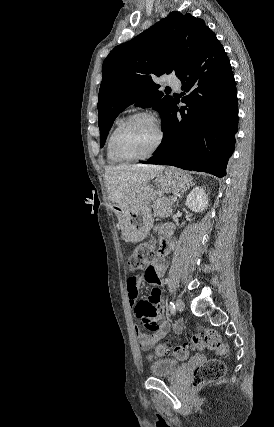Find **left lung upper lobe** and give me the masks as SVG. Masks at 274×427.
<instances>
[{
	"label": "left lung upper lobe",
	"mask_w": 274,
	"mask_h": 427,
	"mask_svg": "<svg viewBox=\"0 0 274 427\" xmlns=\"http://www.w3.org/2000/svg\"><path fill=\"white\" fill-rule=\"evenodd\" d=\"M212 37L215 34L202 19L171 12L129 42L116 46L102 66L98 95L101 147L115 118L130 104L157 110L163 126L174 99L159 91L152 78L171 72L180 77Z\"/></svg>",
	"instance_id": "left-lung-upper-lobe-1"
}]
</instances>
